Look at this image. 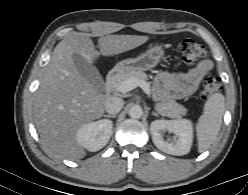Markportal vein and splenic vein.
Here are the masks:
<instances>
[{"label": "portal vein and splenic vein", "mask_w": 248, "mask_h": 195, "mask_svg": "<svg viewBox=\"0 0 248 195\" xmlns=\"http://www.w3.org/2000/svg\"><path fill=\"white\" fill-rule=\"evenodd\" d=\"M137 87H141L146 94H150V86L147 82L136 78L128 79L116 87V90L121 93L129 92Z\"/></svg>", "instance_id": "18ae733b"}]
</instances>
